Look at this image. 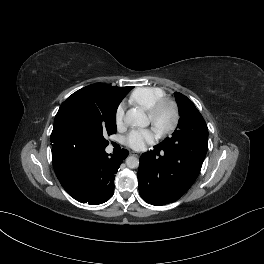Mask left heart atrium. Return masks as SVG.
Returning a JSON list of instances; mask_svg holds the SVG:
<instances>
[{
	"label": "left heart atrium",
	"instance_id": "obj_1",
	"mask_svg": "<svg viewBox=\"0 0 264 264\" xmlns=\"http://www.w3.org/2000/svg\"><path fill=\"white\" fill-rule=\"evenodd\" d=\"M157 138L156 131L150 128L134 129L125 138V143L135 149L142 150L152 144Z\"/></svg>",
	"mask_w": 264,
	"mask_h": 264
}]
</instances>
